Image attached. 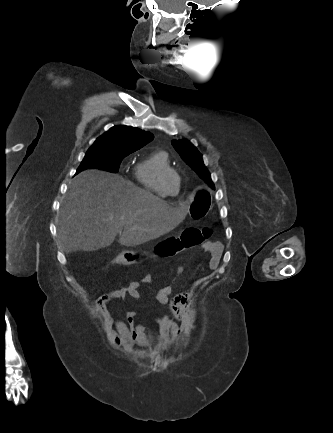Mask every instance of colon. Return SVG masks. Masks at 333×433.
<instances>
[{"label":"colon","instance_id":"1","mask_svg":"<svg viewBox=\"0 0 333 433\" xmlns=\"http://www.w3.org/2000/svg\"><path fill=\"white\" fill-rule=\"evenodd\" d=\"M213 233L211 227H189L183 231L181 236H161L160 240H157L155 244L149 245L148 255H162L165 258H173L178 250L188 249L202 244L205 240H208ZM141 250L136 249H125L124 256L116 257L113 259L115 265H125L126 268H131L132 265L137 263H144Z\"/></svg>","mask_w":333,"mask_h":433}]
</instances>
